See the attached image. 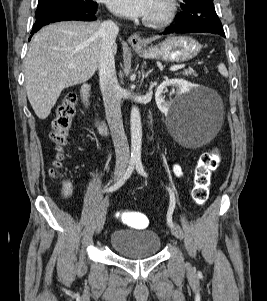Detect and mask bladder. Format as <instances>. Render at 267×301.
<instances>
[{"label": "bladder", "mask_w": 267, "mask_h": 301, "mask_svg": "<svg viewBox=\"0 0 267 301\" xmlns=\"http://www.w3.org/2000/svg\"><path fill=\"white\" fill-rule=\"evenodd\" d=\"M110 246L125 258H145L159 252L161 238L152 230L120 229L112 233Z\"/></svg>", "instance_id": "obj_1"}]
</instances>
